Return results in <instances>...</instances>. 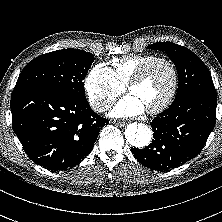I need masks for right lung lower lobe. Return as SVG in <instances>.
Masks as SVG:
<instances>
[{"label": "right lung lower lobe", "instance_id": "obj_1", "mask_svg": "<svg viewBox=\"0 0 222 222\" xmlns=\"http://www.w3.org/2000/svg\"><path fill=\"white\" fill-rule=\"evenodd\" d=\"M10 107L13 130L30 160L53 171L81 162L109 123L86 98L46 87L14 88Z\"/></svg>", "mask_w": 222, "mask_h": 222}]
</instances>
